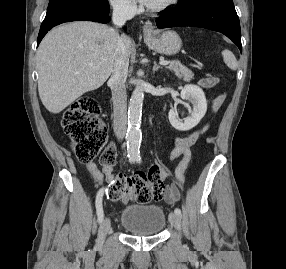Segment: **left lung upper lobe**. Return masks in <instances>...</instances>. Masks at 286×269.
<instances>
[{"label":"left lung upper lobe","mask_w":286,"mask_h":269,"mask_svg":"<svg viewBox=\"0 0 286 269\" xmlns=\"http://www.w3.org/2000/svg\"><path fill=\"white\" fill-rule=\"evenodd\" d=\"M203 1H212V0H178L177 7L186 8ZM214 1H232V0H214Z\"/></svg>","instance_id":"1"}]
</instances>
